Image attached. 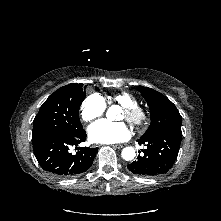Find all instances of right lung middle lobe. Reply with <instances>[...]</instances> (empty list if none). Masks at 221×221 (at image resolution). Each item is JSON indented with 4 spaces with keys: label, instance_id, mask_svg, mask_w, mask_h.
Segmentation results:
<instances>
[{
    "label": "right lung middle lobe",
    "instance_id": "dd1d6c3e",
    "mask_svg": "<svg viewBox=\"0 0 221 221\" xmlns=\"http://www.w3.org/2000/svg\"><path fill=\"white\" fill-rule=\"evenodd\" d=\"M85 88L83 84L72 83L55 91L33 121L32 141L48 134H73L83 130L79 108L85 98Z\"/></svg>",
    "mask_w": 221,
    "mask_h": 221
}]
</instances>
